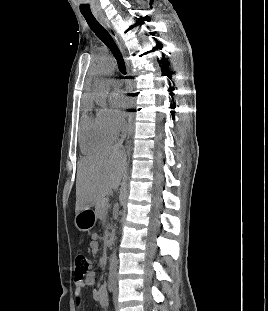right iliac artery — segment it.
<instances>
[{
  "mask_svg": "<svg viewBox=\"0 0 268 311\" xmlns=\"http://www.w3.org/2000/svg\"><path fill=\"white\" fill-rule=\"evenodd\" d=\"M114 289H115V282L113 279H109L108 281V290L110 292H114Z\"/></svg>",
  "mask_w": 268,
  "mask_h": 311,
  "instance_id": "82829eb1",
  "label": "right iliac artery"
}]
</instances>
